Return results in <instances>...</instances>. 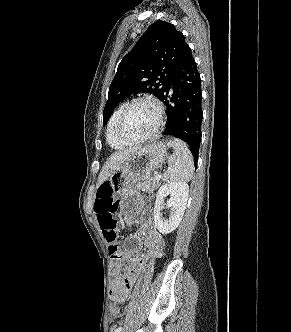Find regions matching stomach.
Instances as JSON below:
<instances>
[{
  "label": "stomach",
  "instance_id": "obj_1",
  "mask_svg": "<svg viewBox=\"0 0 291 332\" xmlns=\"http://www.w3.org/2000/svg\"><path fill=\"white\" fill-rule=\"evenodd\" d=\"M166 145L162 142L150 144L134 152L108 178L116 194L121 213L136 212L140 195L133 184L147 180L166 158Z\"/></svg>",
  "mask_w": 291,
  "mask_h": 332
}]
</instances>
